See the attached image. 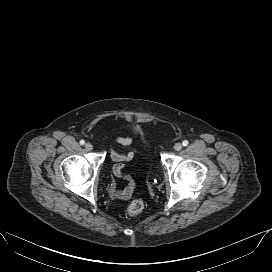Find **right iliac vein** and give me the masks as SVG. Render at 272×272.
Segmentation results:
<instances>
[{"label": "right iliac vein", "instance_id": "1", "mask_svg": "<svg viewBox=\"0 0 272 272\" xmlns=\"http://www.w3.org/2000/svg\"><path fill=\"white\" fill-rule=\"evenodd\" d=\"M85 148H86V150L91 151L93 149V145L88 142L85 144Z\"/></svg>", "mask_w": 272, "mask_h": 272}]
</instances>
